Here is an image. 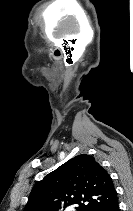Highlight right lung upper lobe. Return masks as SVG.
I'll return each instance as SVG.
<instances>
[{"label": "right lung upper lobe", "instance_id": "cb5924a9", "mask_svg": "<svg viewBox=\"0 0 133 211\" xmlns=\"http://www.w3.org/2000/svg\"><path fill=\"white\" fill-rule=\"evenodd\" d=\"M117 202L110 175L94 157L82 154L37 183L24 211H63L73 204L79 211H106Z\"/></svg>", "mask_w": 133, "mask_h": 211}]
</instances>
